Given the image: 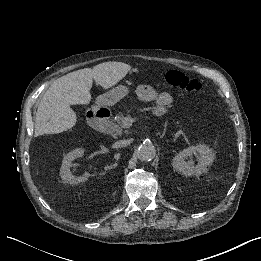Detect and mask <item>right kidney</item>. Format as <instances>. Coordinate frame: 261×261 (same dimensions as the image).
I'll use <instances>...</instances> for the list:
<instances>
[{
  "label": "right kidney",
  "instance_id": "obj_1",
  "mask_svg": "<svg viewBox=\"0 0 261 261\" xmlns=\"http://www.w3.org/2000/svg\"><path fill=\"white\" fill-rule=\"evenodd\" d=\"M82 154L84 153L83 149H79ZM78 152V150H74L73 156H70V154H68L64 159H63V163L61 166V172L60 175L62 177V179L69 183V184H77L80 182H85L88 180V178H85L84 180H82L81 178H73L72 176H70L68 174L69 170H70V165H71V160H73L74 158H76L78 155L76 154Z\"/></svg>",
  "mask_w": 261,
  "mask_h": 261
}]
</instances>
